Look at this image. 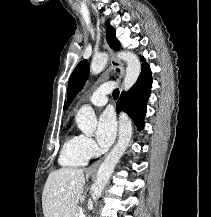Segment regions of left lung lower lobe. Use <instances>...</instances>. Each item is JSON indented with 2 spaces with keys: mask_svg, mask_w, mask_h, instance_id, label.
Masks as SVG:
<instances>
[{
  "mask_svg": "<svg viewBox=\"0 0 211 217\" xmlns=\"http://www.w3.org/2000/svg\"><path fill=\"white\" fill-rule=\"evenodd\" d=\"M152 77L148 64L143 65L137 82L127 93H122L117 103V112L123 109L137 125L143 128L147 101L151 93Z\"/></svg>",
  "mask_w": 211,
  "mask_h": 217,
  "instance_id": "left-lung-lower-lobe-1",
  "label": "left lung lower lobe"
}]
</instances>
